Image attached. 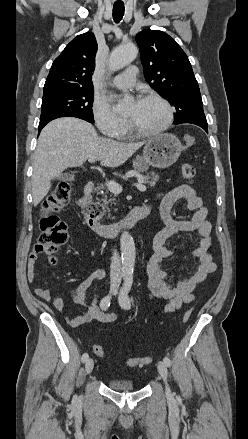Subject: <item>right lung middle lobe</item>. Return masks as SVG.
<instances>
[{"instance_id":"right-lung-middle-lobe-1","label":"right lung middle lobe","mask_w":248,"mask_h":439,"mask_svg":"<svg viewBox=\"0 0 248 439\" xmlns=\"http://www.w3.org/2000/svg\"><path fill=\"white\" fill-rule=\"evenodd\" d=\"M93 89H73L43 95L40 122L64 116L83 117L94 123Z\"/></svg>"}]
</instances>
